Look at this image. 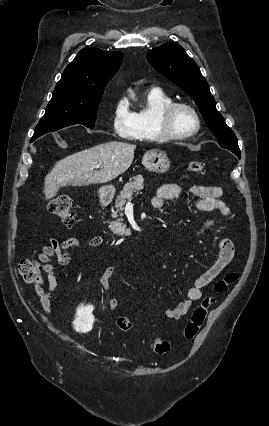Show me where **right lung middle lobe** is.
<instances>
[{"instance_id":"dd1d6c3e","label":"right lung middle lobe","mask_w":269,"mask_h":426,"mask_svg":"<svg viewBox=\"0 0 269 426\" xmlns=\"http://www.w3.org/2000/svg\"><path fill=\"white\" fill-rule=\"evenodd\" d=\"M101 98L102 96L69 98L62 94H53L31 142L46 133L69 125L82 124L93 129Z\"/></svg>"}]
</instances>
